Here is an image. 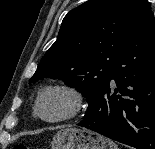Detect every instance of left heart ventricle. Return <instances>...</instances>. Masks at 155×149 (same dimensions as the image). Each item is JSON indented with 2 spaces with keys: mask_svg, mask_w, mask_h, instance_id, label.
<instances>
[{
  "mask_svg": "<svg viewBox=\"0 0 155 149\" xmlns=\"http://www.w3.org/2000/svg\"><path fill=\"white\" fill-rule=\"evenodd\" d=\"M70 104V99L65 94L51 92L42 98L40 111L46 118H55L67 113Z\"/></svg>",
  "mask_w": 155,
  "mask_h": 149,
  "instance_id": "obj_1",
  "label": "left heart ventricle"
}]
</instances>
